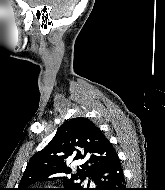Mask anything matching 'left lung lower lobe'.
I'll use <instances>...</instances> for the list:
<instances>
[{
    "instance_id": "0a47b994",
    "label": "left lung lower lobe",
    "mask_w": 165,
    "mask_h": 190,
    "mask_svg": "<svg viewBox=\"0 0 165 190\" xmlns=\"http://www.w3.org/2000/svg\"><path fill=\"white\" fill-rule=\"evenodd\" d=\"M92 180L96 188L88 190H127L124 188L123 171L117 154L94 173Z\"/></svg>"
}]
</instances>
